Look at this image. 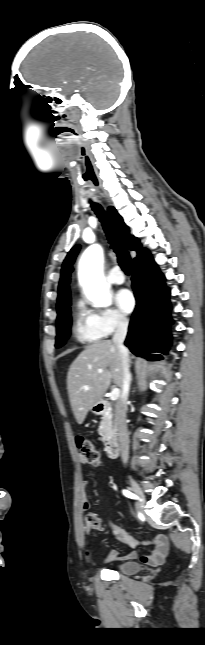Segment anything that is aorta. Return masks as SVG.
Returning a JSON list of instances; mask_svg holds the SVG:
<instances>
[{"mask_svg":"<svg viewBox=\"0 0 205 645\" xmlns=\"http://www.w3.org/2000/svg\"><path fill=\"white\" fill-rule=\"evenodd\" d=\"M79 282L95 307H107L111 296L103 277V250L100 245L89 246L79 262Z\"/></svg>","mask_w":205,"mask_h":645,"instance_id":"obj_1","label":"aorta"}]
</instances>
